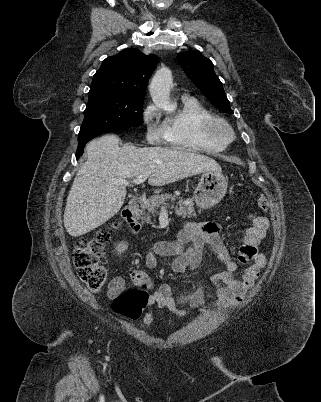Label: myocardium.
Wrapping results in <instances>:
<instances>
[{
	"instance_id": "obj_1",
	"label": "myocardium",
	"mask_w": 321,
	"mask_h": 402,
	"mask_svg": "<svg viewBox=\"0 0 321 402\" xmlns=\"http://www.w3.org/2000/svg\"><path fill=\"white\" fill-rule=\"evenodd\" d=\"M201 128L204 134L223 145H227L234 140V130L232 126L219 116H210L201 122Z\"/></svg>"
}]
</instances>
